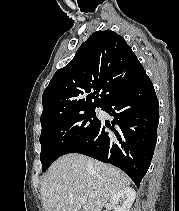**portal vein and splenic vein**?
I'll return each mask as SVG.
<instances>
[{
    "label": "portal vein and splenic vein",
    "instance_id": "portal-vein-and-splenic-vein-1",
    "mask_svg": "<svg viewBox=\"0 0 179 211\" xmlns=\"http://www.w3.org/2000/svg\"><path fill=\"white\" fill-rule=\"evenodd\" d=\"M87 198L85 196L80 197V203L84 205L86 203Z\"/></svg>",
    "mask_w": 179,
    "mask_h": 211
}]
</instances>
